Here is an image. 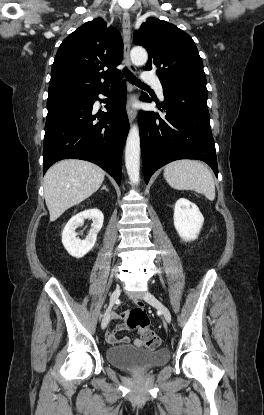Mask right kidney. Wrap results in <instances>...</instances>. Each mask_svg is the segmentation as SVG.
Instances as JSON below:
<instances>
[{"mask_svg":"<svg viewBox=\"0 0 264 415\" xmlns=\"http://www.w3.org/2000/svg\"><path fill=\"white\" fill-rule=\"evenodd\" d=\"M85 219H91V230L85 239L81 240L75 230L84 223ZM104 216L98 209H90L73 216L65 225L62 232V243L67 252L75 257L85 256L95 245L97 234L103 226Z\"/></svg>","mask_w":264,"mask_h":415,"instance_id":"obj_1","label":"right kidney"}]
</instances>
